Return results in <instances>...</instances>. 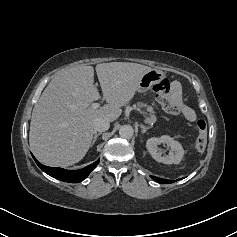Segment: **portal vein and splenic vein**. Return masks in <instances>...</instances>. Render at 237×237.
<instances>
[{
	"mask_svg": "<svg viewBox=\"0 0 237 237\" xmlns=\"http://www.w3.org/2000/svg\"><path fill=\"white\" fill-rule=\"evenodd\" d=\"M91 107H92L93 109H97V108L100 107V104L96 102V103H93V104L91 105Z\"/></svg>",
	"mask_w": 237,
	"mask_h": 237,
	"instance_id": "portal-vein-and-splenic-vein-1",
	"label": "portal vein and splenic vein"
}]
</instances>
